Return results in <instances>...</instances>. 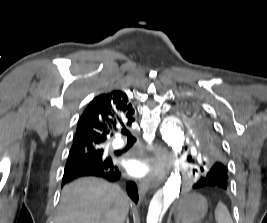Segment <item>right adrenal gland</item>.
<instances>
[{
	"mask_svg": "<svg viewBox=\"0 0 267 223\" xmlns=\"http://www.w3.org/2000/svg\"><path fill=\"white\" fill-rule=\"evenodd\" d=\"M126 223H129V218L127 217V219H126Z\"/></svg>",
	"mask_w": 267,
	"mask_h": 223,
	"instance_id": "right-adrenal-gland-1",
	"label": "right adrenal gland"
}]
</instances>
